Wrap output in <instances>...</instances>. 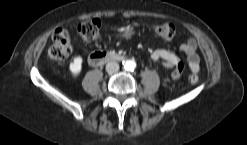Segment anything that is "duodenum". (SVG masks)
I'll list each match as a JSON object with an SVG mask.
<instances>
[{
    "label": "duodenum",
    "mask_w": 247,
    "mask_h": 145,
    "mask_svg": "<svg viewBox=\"0 0 247 145\" xmlns=\"http://www.w3.org/2000/svg\"><path fill=\"white\" fill-rule=\"evenodd\" d=\"M124 57L119 54L105 52V51H96L90 54L89 63L92 66H101L104 63L111 61H122Z\"/></svg>",
    "instance_id": "1"
}]
</instances>
